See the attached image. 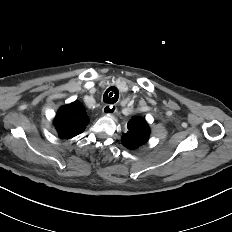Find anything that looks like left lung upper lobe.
<instances>
[{
  "instance_id": "5c2ea615",
  "label": "left lung upper lobe",
  "mask_w": 232,
  "mask_h": 232,
  "mask_svg": "<svg viewBox=\"0 0 232 232\" xmlns=\"http://www.w3.org/2000/svg\"><path fill=\"white\" fill-rule=\"evenodd\" d=\"M127 132L122 136V144L135 150L145 144L150 135V128L144 118L134 117L127 124Z\"/></svg>"
}]
</instances>
